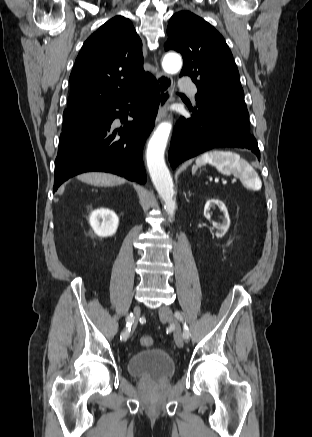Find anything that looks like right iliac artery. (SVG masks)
<instances>
[{
	"instance_id": "right-iliac-artery-1",
	"label": "right iliac artery",
	"mask_w": 312,
	"mask_h": 437,
	"mask_svg": "<svg viewBox=\"0 0 312 437\" xmlns=\"http://www.w3.org/2000/svg\"><path fill=\"white\" fill-rule=\"evenodd\" d=\"M133 322H134V317L133 314L131 313L126 317V329L120 335L121 340H127Z\"/></svg>"
}]
</instances>
